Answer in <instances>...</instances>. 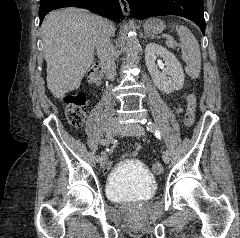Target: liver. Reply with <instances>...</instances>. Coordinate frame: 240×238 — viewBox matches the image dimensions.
I'll list each match as a JSON object with an SVG mask.
<instances>
[{
    "mask_svg": "<svg viewBox=\"0 0 240 238\" xmlns=\"http://www.w3.org/2000/svg\"><path fill=\"white\" fill-rule=\"evenodd\" d=\"M102 18L83 9L52 11L42 23L44 58L47 62V87L56 98L80 86L94 61L98 22ZM110 36L115 28L107 20Z\"/></svg>",
    "mask_w": 240,
    "mask_h": 238,
    "instance_id": "6515ba94",
    "label": "liver"
}]
</instances>
